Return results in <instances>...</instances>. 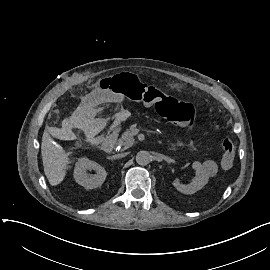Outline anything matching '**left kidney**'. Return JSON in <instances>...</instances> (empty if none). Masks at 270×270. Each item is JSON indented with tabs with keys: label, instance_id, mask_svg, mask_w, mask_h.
Here are the masks:
<instances>
[{
	"label": "left kidney",
	"instance_id": "left-kidney-1",
	"mask_svg": "<svg viewBox=\"0 0 270 270\" xmlns=\"http://www.w3.org/2000/svg\"><path fill=\"white\" fill-rule=\"evenodd\" d=\"M192 167L196 170V176L193 178L190 184H180L178 179L174 180L173 182L174 187H176V189L181 193L194 194L208 183L209 176L204 171L202 164L196 161L192 164Z\"/></svg>",
	"mask_w": 270,
	"mask_h": 270
}]
</instances>
